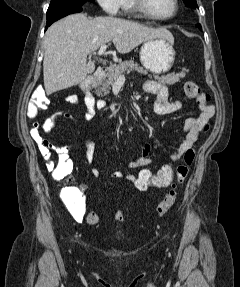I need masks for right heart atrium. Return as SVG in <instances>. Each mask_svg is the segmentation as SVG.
<instances>
[{"label":"right heart atrium","mask_w":240,"mask_h":287,"mask_svg":"<svg viewBox=\"0 0 240 287\" xmlns=\"http://www.w3.org/2000/svg\"><path fill=\"white\" fill-rule=\"evenodd\" d=\"M123 0H97L101 8L109 15L116 16L120 13Z\"/></svg>","instance_id":"d8ad5b80"}]
</instances>
